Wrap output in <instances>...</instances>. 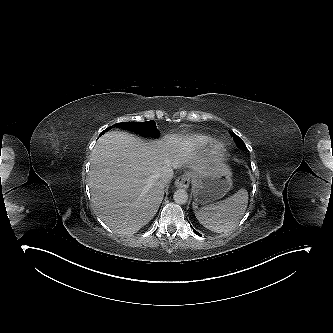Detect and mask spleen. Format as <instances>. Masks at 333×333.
Masks as SVG:
<instances>
[{
    "instance_id": "obj_1",
    "label": "spleen",
    "mask_w": 333,
    "mask_h": 333,
    "mask_svg": "<svg viewBox=\"0 0 333 333\" xmlns=\"http://www.w3.org/2000/svg\"><path fill=\"white\" fill-rule=\"evenodd\" d=\"M247 203L248 192L245 189H240L223 201L195 210V216L205 228L213 232H229L237 226L243 217Z\"/></svg>"
}]
</instances>
